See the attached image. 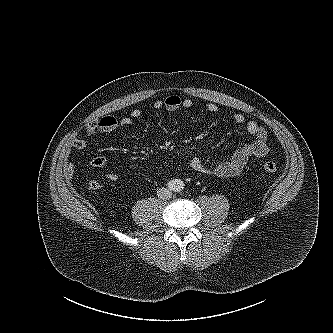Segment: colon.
<instances>
[{
	"label": "colon",
	"mask_w": 333,
	"mask_h": 333,
	"mask_svg": "<svg viewBox=\"0 0 333 333\" xmlns=\"http://www.w3.org/2000/svg\"><path fill=\"white\" fill-rule=\"evenodd\" d=\"M278 167H279V160L278 157L274 155L262 163L261 170L265 173H273L278 169ZM89 187L92 189H97L100 187V183L95 180H92L89 182Z\"/></svg>",
	"instance_id": "1"
}]
</instances>
